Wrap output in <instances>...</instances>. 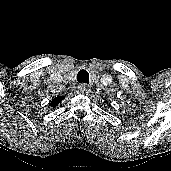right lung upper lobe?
I'll return each mask as SVG.
<instances>
[{
    "label": "right lung upper lobe",
    "mask_w": 171,
    "mask_h": 171,
    "mask_svg": "<svg viewBox=\"0 0 171 171\" xmlns=\"http://www.w3.org/2000/svg\"><path fill=\"white\" fill-rule=\"evenodd\" d=\"M62 96H57L55 99L51 101V106L55 107L57 104H59L62 101Z\"/></svg>",
    "instance_id": "1"
}]
</instances>
